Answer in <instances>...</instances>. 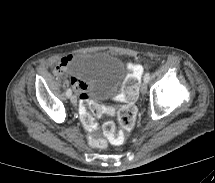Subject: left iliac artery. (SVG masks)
<instances>
[{
	"label": "left iliac artery",
	"mask_w": 215,
	"mask_h": 183,
	"mask_svg": "<svg viewBox=\"0 0 215 183\" xmlns=\"http://www.w3.org/2000/svg\"><path fill=\"white\" fill-rule=\"evenodd\" d=\"M149 80H150V73L147 72V73L145 74V76H144V81H146V82L148 83Z\"/></svg>",
	"instance_id": "obj_1"
}]
</instances>
